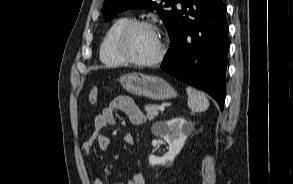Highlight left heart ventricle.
Segmentation results:
<instances>
[{
  "label": "left heart ventricle",
  "instance_id": "b2bd125f",
  "mask_svg": "<svg viewBox=\"0 0 293 184\" xmlns=\"http://www.w3.org/2000/svg\"><path fill=\"white\" fill-rule=\"evenodd\" d=\"M125 50L134 59L150 60L158 53V37L148 28H136L128 35Z\"/></svg>",
  "mask_w": 293,
  "mask_h": 184
}]
</instances>
